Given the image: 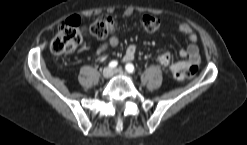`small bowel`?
I'll return each mask as SVG.
<instances>
[{
    "label": "small bowel",
    "instance_id": "1",
    "mask_svg": "<svg viewBox=\"0 0 247 145\" xmlns=\"http://www.w3.org/2000/svg\"><path fill=\"white\" fill-rule=\"evenodd\" d=\"M179 30L189 40V45L186 48L181 49L179 51V55L185 59L181 61L172 62L169 54H162L159 56V62H160V58L163 55H167L169 57L170 63L168 65L162 64L161 62L160 64L163 66H169L171 72L173 73L177 70L187 71L190 68L197 69L200 63L199 49L196 44L197 35L193 32L192 28L186 23L180 24ZM118 44H119V39L116 36H111L106 42L100 44L96 52L98 55H101L107 48L116 47ZM136 52H137V48L135 44L128 45L125 54L123 56V62L132 61L136 56Z\"/></svg>",
    "mask_w": 247,
    "mask_h": 145
}]
</instances>
